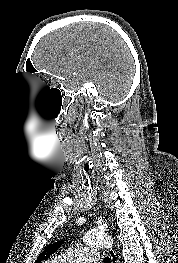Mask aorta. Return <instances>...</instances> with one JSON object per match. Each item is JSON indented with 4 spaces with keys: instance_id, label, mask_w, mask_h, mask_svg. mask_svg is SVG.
Instances as JSON below:
<instances>
[{
    "instance_id": "aorta-1",
    "label": "aorta",
    "mask_w": 178,
    "mask_h": 263,
    "mask_svg": "<svg viewBox=\"0 0 178 263\" xmlns=\"http://www.w3.org/2000/svg\"><path fill=\"white\" fill-rule=\"evenodd\" d=\"M85 243L102 248H110L113 240L109 235L101 231H89L83 236Z\"/></svg>"
}]
</instances>
